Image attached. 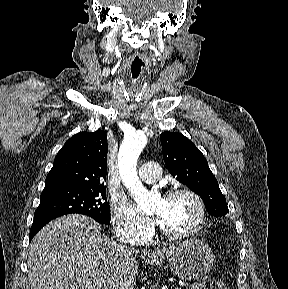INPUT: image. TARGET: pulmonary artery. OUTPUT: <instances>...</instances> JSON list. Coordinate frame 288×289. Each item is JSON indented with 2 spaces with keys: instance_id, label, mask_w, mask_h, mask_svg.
I'll use <instances>...</instances> for the list:
<instances>
[{
  "instance_id": "pulmonary-artery-1",
  "label": "pulmonary artery",
  "mask_w": 288,
  "mask_h": 289,
  "mask_svg": "<svg viewBox=\"0 0 288 289\" xmlns=\"http://www.w3.org/2000/svg\"><path fill=\"white\" fill-rule=\"evenodd\" d=\"M162 175L160 166L153 161L146 162L139 169V176L146 183L157 182Z\"/></svg>"
}]
</instances>
